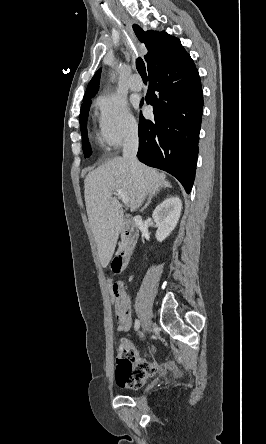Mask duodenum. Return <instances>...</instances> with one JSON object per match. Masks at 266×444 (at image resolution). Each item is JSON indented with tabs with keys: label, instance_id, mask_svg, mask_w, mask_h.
<instances>
[{
	"label": "duodenum",
	"instance_id": "410a0bca",
	"mask_svg": "<svg viewBox=\"0 0 266 444\" xmlns=\"http://www.w3.org/2000/svg\"><path fill=\"white\" fill-rule=\"evenodd\" d=\"M137 236L138 231L136 225H134L131 220H125L121 245L113 261L118 272H123L128 268L132 259L133 246L137 240Z\"/></svg>",
	"mask_w": 266,
	"mask_h": 444
}]
</instances>
